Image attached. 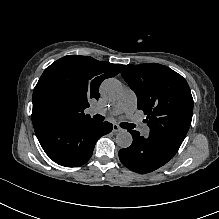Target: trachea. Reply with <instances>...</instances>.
Here are the masks:
<instances>
[{"instance_id":"trachea-1","label":"trachea","mask_w":219,"mask_h":219,"mask_svg":"<svg viewBox=\"0 0 219 219\" xmlns=\"http://www.w3.org/2000/svg\"><path fill=\"white\" fill-rule=\"evenodd\" d=\"M93 118L97 121H103L104 120V117L99 115V114H95L93 116ZM121 127H123L124 129H132L134 126H133V124H130V123H122Z\"/></svg>"}]
</instances>
